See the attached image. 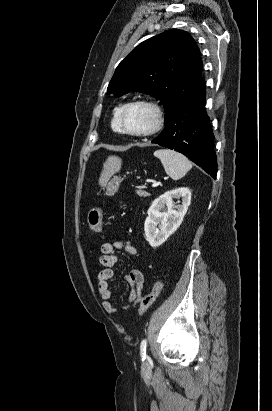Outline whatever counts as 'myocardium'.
Masks as SVG:
<instances>
[{
	"instance_id": "1",
	"label": "myocardium",
	"mask_w": 272,
	"mask_h": 411,
	"mask_svg": "<svg viewBox=\"0 0 272 411\" xmlns=\"http://www.w3.org/2000/svg\"><path fill=\"white\" fill-rule=\"evenodd\" d=\"M134 106H143L151 111L153 115V121H152V124L147 129L135 132V131H130L125 127L124 121H123L124 115L129 108L134 107ZM163 121H164V116H163V112L161 108L159 107V105L153 101L146 100V99H135V100L128 101L127 103L123 105V107L121 108L119 112V116H118V124L120 128V132L125 135L136 137V138L149 137V136L156 134L162 128Z\"/></svg>"
}]
</instances>
